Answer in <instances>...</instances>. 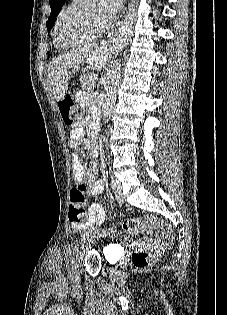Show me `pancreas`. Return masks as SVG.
I'll list each match as a JSON object with an SVG mask.
<instances>
[{
	"mask_svg": "<svg viewBox=\"0 0 227 315\" xmlns=\"http://www.w3.org/2000/svg\"><path fill=\"white\" fill-rule=\"evenodd\" d=\"M93 73H87L80 76V82L83 90L92 91L95 85V80L92 78Z\"/></svg>",
	"mask_w": 227,
	"mask_h": 315,
	"instance_id": "1",
	"label": "pancreas"
}]
</instances>
